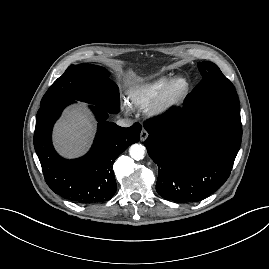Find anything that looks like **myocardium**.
Listing matches in <instances>:
<instances>
[{"label": "myocardium", "mask_w": 269, "mask_h": 269, "mask_svg": "<svg viewBox=\"0 0 269 269\" xmlns=\"http://www.w3.org/2000/svg\"><path fill=\"white\" fill-rule=\"evenodd\" d=\"M189 90L190 83L184 76H176L170 79L150 105L149 113L158 116L169 112L185 100Z\"/></svg>", "instance_id": "1"}]
</instances>
